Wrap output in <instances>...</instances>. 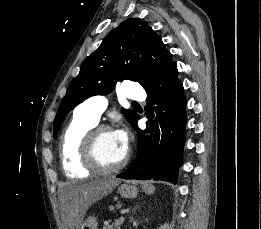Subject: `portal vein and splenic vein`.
Masks as SVG:
<instances>
[{
	"instance_id": "1",
	"label": "portal vein and splenic vein",
	"mask_w": 261,
	"mask_h": 229,
	"mask_svg": "<svg viewBox=\"0 0 261 229\" xmlns=\"http://www.w3.org/2000/svg\"><path fill=\"white\" fill-rule=\"evenodd\" d=\"M125 222H126V219H125V218H120V219L117 221V224H118V225H123Z\"/></svg>"
}]
</instances>
